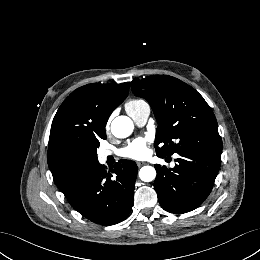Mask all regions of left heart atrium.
I'll list each match as a JSON object with an SVG mask.
<instances>
[{"label": "left heart atrium", "instance_id": "39dd6f15", "mask_svg": "<svg viewBox=\"0 0 260 260\" xmlns=\"http://www.w3.org/2000/svg\"><path fill=\"white\" fill-rule=\"evenodd\" d=\"M120 153L124 157L133 159L142 158L147 153V141L143 138H138L123 148Z\"/></svg>", "mask_w": 260, "mask_h": 260}]
</instances>
